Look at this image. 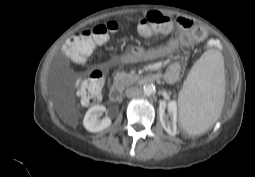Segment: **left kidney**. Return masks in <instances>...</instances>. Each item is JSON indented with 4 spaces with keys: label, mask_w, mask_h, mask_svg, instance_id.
Masks as SVG:
<instances>
[{
    "label": "left kidney",
    "mask_w": 255,
    "mask_h": 177,
    "mask_svg": "<svg viewBox=\"0 0 255 177\" xmlns=\"http://www.w3.org/2000/svg\"><path fill=\"white\" fill-rule=\"evenodd\" d=\"M168 114H165L163 108H160V121L167 133L175 135L177 130V104L175 101L168 103Z\"/></svg>",
    "instance_id": "obj_1"
}]
</instances>
